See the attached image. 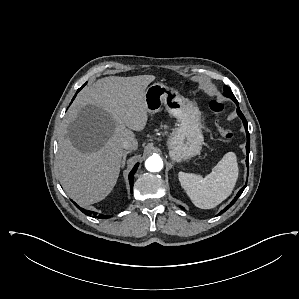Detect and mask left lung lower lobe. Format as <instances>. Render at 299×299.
<instances>
[{"label": "left lung lower lobe", "instance_id": "left-lung-lower-lobe-1", "mask_svg": "<svg viewBox=\"0 0 299 299\" xmlns=\"http://www.w3.org/2000/svg\"><path fill=\"white\" fill-rule=\"evenodd\" d=\"M233 101L236 103L237 105V113L239 115V117L242 119L245 130H246V135H247V144H246V153H247V158H246V165L248 167L249 164V152H250V135L248 132V128H247V120L245 119L244 115L242 114V112L239 109V105H238V101L235 99H233ZM246 185L243 186L240 191L237 193L236 197L232 200V202L230 203V205L227 206V208H229L233 203L236 202V200L239 198V196L242 194L243 190L245 189ZM225 211V209L223 210ZM223 211H221L218 215H220L221 213H223ZM217 215V216H218Z\"/></svg>", "mask_w": 299, "mask_h": 299}]
</instances>
